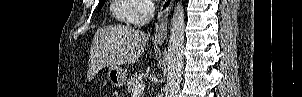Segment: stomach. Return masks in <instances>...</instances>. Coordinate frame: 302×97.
<instances>
[{
    "label": "stomach",
    "mask_w": 302,
    "mask_h": 97,
    "mask_svg": "<svg viewBox=\"0 0 302 97\" xmlns=\"http://www.w3.org/2000/svg\"><path fill=\"white\" fill-rule=\"evenodd\" d=\"M107 78L111 85L121 87L127 81V71L118 65H113L107 72Z\"/></svg>",
    "instance_id": "1"
}]
</instances>
